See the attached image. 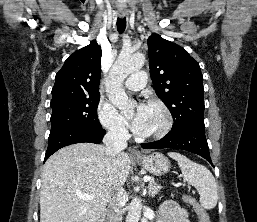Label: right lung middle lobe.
I'll return each instance as SVG.
<instances>
[{"mask_svg": "<svg viewBox=\"0 0 257 222\" xmlns=\"http://www.w3.org/2000/svg\"><path fill=\"white\" fill-rule=\"evenodd\" d=\"M100 95L51 101L50 135L65 129L98 130L102 126L98 120L97 107Z\"/></svg>", "mask_w": 257, "mask_h": 222, "instance_id": "obj_1", "label": "right lung middle lobe"}]
</instances>
